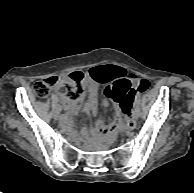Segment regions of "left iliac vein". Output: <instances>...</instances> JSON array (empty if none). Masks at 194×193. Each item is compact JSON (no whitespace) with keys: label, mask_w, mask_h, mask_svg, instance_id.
I'll list each match as a JSON object with an SVG mask.
<instances>
[{"label":"left iliac vein","mask_w":194,"mask_h":193,"mask_svg":"<svg viewBox=\"0 0 194 193\" xmlns=\"http://www.w3.org/2000/svg\"><path fill=\"white\" fill-rule=\"evenodd\" d=\"M134 115H135L136 120L140 117V109L137 106L134 109Z\"/></svg>","instance_id":"obj_1"}]
</instances>
